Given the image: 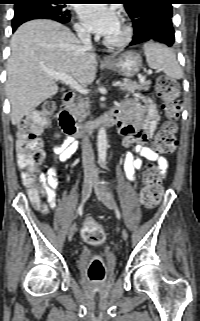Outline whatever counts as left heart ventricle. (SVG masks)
Wrapping results in <instances>:
<instances>
[{
	"instance_id": "obj_1",
	"label": "left heart ventricle",
	"mask_w": 200,
	"mask_h": 321,
	"mask_svg": "<svg viewBox=\"0 0 200 321\" xmlns=\"http://www.w3.org/2000/svg\"><path fill=\"white\" fill-rule=\"evenodd\" d=\"M122 36H123V29L120 24L111 34H109L106 37L111 40H119Z\"/></svg>"
}]
</instances>
